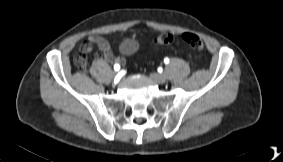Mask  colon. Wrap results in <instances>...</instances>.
I'll use <instances>...</instances> for the list:
<instances>
[{"mask_svg": "<svg viewBox=\"0 0 283 162\" xmlns=\"http://www.w3.org/2000/svg\"><path fill=\"white\" fill-rule=\"evenodd\" d=\"M173 40L174 36L172 34L162 33L155 38L154 43L157 45H167ZM182 40L195 51H202L204 48L202 40L194 33H184ZM74 62L80 69H85L87 66V55L78 53L74 58Z\"/></svg>", "mask_w": 283, "mask_h": 162, "instance_id": "1", "label": "colon"}]
</instances>
